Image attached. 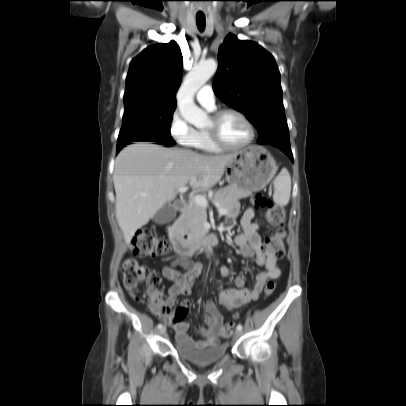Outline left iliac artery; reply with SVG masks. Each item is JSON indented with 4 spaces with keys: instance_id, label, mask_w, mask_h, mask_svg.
Listing matches in <instances>:
<instances>
[{
    "instance_id": "44dca946",
    "label": "left iliac artery",
    "mask_w": 406,
    "mask_h": 406,
    "mask_svg": "<svg viewBox=\"0 0 406 406\" xmlns=\"http://www.w3.org/2000/svg\"><path fill=\"white\" fill-rule=\"evenodd\" d=\"M242 328H243V327H242L241 324H238V325H237V330H242Z\"/></svg>"
}]
</instances>
